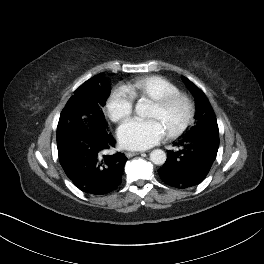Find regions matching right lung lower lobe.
<instances>
[{
    "mask_svg": "<svg viewBox=\"0 0 264 264\" xmlns=\"http://www.w3.org/2000/svg\"><path fill=\"white\" fill-rule=\"evenodd\" d=\"M115 140L107 127L96 122L80 124L57 138L60 164L81 191L103 195L115 190L127 158L113 153Z\"/></svg>",
    "mask_w": 264,
    "mask_h": 264,
    "instance_id": "1",
    "label": "right lung lower lobe"
}]
</instances>
